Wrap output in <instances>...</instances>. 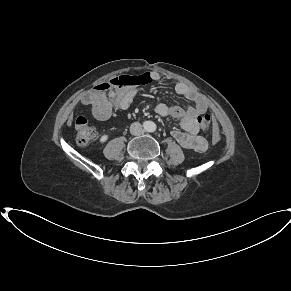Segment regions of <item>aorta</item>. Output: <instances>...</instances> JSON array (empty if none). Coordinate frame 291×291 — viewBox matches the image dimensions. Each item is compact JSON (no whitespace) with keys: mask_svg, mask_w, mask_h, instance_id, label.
<instances>
[{"mask_svg":"<svg viewBox=\"0 0 291 291\" xmlns=\"http://www.w3.org/2000/svg\"><path fill=\"white\" fill-rule=\"evenodd\" d=\"M146 130L148 132H154L156 130V124L152 121L146 123Z\"/></svg>","mask_w":291,"mask_h":291,"instance_id":"aorta-1","label":"aorta"}]
</instances>
